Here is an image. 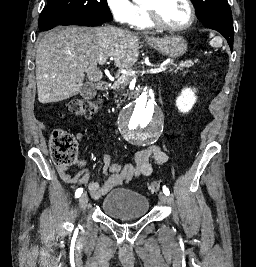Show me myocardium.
<instances>
[{
	"label": "myocardium",
	"instance_id": "1",
	"mask_svg": "<svg viewBox=\"0 0 256 267\" xmlns=\"http://www.w3.org/2000/svg\"><path fill=\"white\" fill-rule=\"evenodd\" d=\"M150 1L156 3V2L165 1V0H146V3H145L146 14L144 16L145 21H153L154 19V14H153L154 8L153 6L149 5ZM181 1L186 4V6L189 9V13H190L189 19L185 24L181 26L154 24L150 29H156L158 31L175 33V32H181V31H184L190 28L195 22V18H196L195 8L189 0H181Z\"/></svg>",
	"mask_w": 256,
	"mask_h": 267
}]
</instances>
